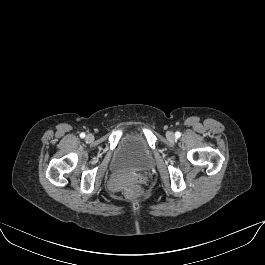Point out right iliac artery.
I'll list each match as a JSON object with an SVG mask.
<instances>
[{"label": "right iliac artery", "mask_w": 265, "mask_h": 265, "mask_svg": "<svg viewBox=\"0 0 265 265\" xmlns=\"http://www.w3.org/2000/svg\"><path fill=\"white\" fill-rule=\"evenodd\" d=\"M80 137H81V138H84V137H85V133H81V134H80Z\"/></svg>", "instance_id": "obj_1"}]
</instances>
